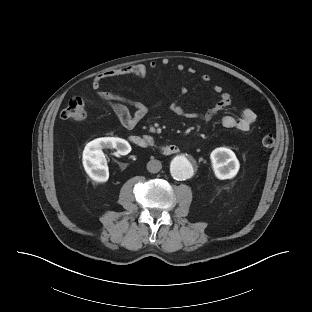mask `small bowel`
Wrapping results in <instances>:
<instances>
[{
    "label": "small bowel",
    "mask_w": 312,
    "mask_h": 312,
    "mask_svg": "<svg viewBox=\"0 0 312 312\" xmlns=\"http://www.w3.org/2000/svg\"><path fill=\"white\" fill-rule=\"evenodd\" d=\"M155 69H157V63L154 61L150 62L148 66L144 64H134L99 74L92 81V87L97 92L98 96L112 109L120 123L127 129H133L146 116L148 107L143 102L104 91L101 89V84L105 79L119 76L131 75L143 78L150 70ZM182 69V66H178V70L181 71ZM201 81L203 83H208L210 77L208 75H203ZM213 91L218 94V99L215 104L204 113L189 114L176 102L171 104L170 110L180 117H190L208 122L231 104L230 95L223 92L221 86H213ZM185 92L186 89L182 87L181 94H185ZM129 107H131L133 111H130ZM256 119L257 115L253 110L244 108L238 117L232 115L223 116L221 124L227 129L249 131Z\"/></svg>",
    "instance_id": "obj_1"
}]
</instances>
